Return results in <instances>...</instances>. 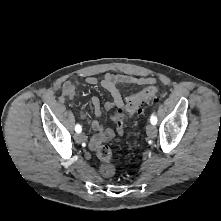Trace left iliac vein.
I'll return each instance as SVG.
<instances>
[{
    "mask_svg": "<svg viewBox=\"0 0 221 221\" xmlns=\"http://www.w3.org/2000/svg\"><path fill=\"white\" fill-rule=\"evenodd\" d=\"M146 133L150 138H154L157 135V129L153 124H149L146 127Z\"/></svg>",
    "mask_w": 221,
    "mask_h": 221,
    "instance_id": "left-iliac-vein-1",
    "label": "left iliac vein"
}]
</instances>
